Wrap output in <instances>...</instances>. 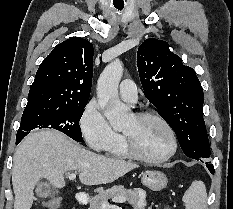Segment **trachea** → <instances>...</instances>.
Segmentation results:
<instances>
[{"label":"trachea","mask_w":233,"mask_h":209,"mask_svg":"<svg viewBox=\"0 0 233 209\" xmlns=\"http://www.w3.org/2000/svg\"><path fill=\"white\" fill-rule=\"evenodd\" d=\"M115 8L118 9V10H122L123 6H115Z\"/></svg>","instance_id":"trachea-1"}]
</instances>
